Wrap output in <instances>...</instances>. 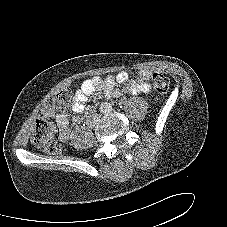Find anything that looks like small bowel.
Instances as JSON below:
<instances>
[{"instance_id":"1","label":"small bowel","mask_w":227,"mask_h":227,"mask_svg":"<svg viewBox=\"0 0 227 227\" xmlns=\"http://www.w3.org/2000/svg\"><path fill=\"white\" fill-rule=\"evenodd\" d=\"M151 72L149 70H141L139 76L135 80H131L126 71H121L116 75H108L104 80L98 76L90 77L84 80L80 87L76 90L71 108L76 114H82L85 111V102L91 94L97 90H102L107 98H116L121 94L118 84H126L125 92L132 95L147 93L150 90ZM56 125L59 131V139L66 141L70 137L72 123H77L79 118L72 121L65 112L56 116Z\"/></svg>"}]
</instances>
